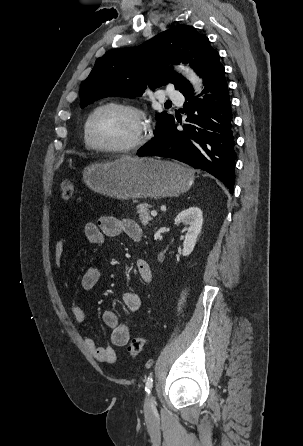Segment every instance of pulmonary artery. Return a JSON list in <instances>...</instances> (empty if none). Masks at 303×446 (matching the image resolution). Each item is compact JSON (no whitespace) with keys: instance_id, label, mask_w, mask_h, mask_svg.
<instances>
[{"instance_id":"obj_1","label":"pulmonary artery","mask_w":303,"mask_h":446,"mask_svg":"<svg viewBox=\"0 0 303 446\" xmlns=\"http://www.w3.org/2000/svg\"><path fill=\"white\" fill-rule=\"evenodd\" d=\"M166 95H167V97H168L169 99H171V100H173L174 102L179 103V104L182 103L183 100H184L183 95H182L179 91H177V90H175V89H173V88H169V89L167 90Z\"/></svg>"}]
</instances>
